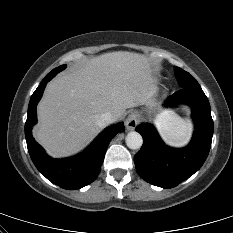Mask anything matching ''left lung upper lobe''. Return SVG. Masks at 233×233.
Instances as JSON below:
<instances>
[{
  "mask_svg": "<svg viewBox=\"0 0 233 233\" xmlns=\"http://www.w3.org/2000/svg\"><path fill=\"white\" fill-rule=\"evenodd\" d=\"M175 72L178 83L182 88H195V89L201 88L198 82L196 81V79L188 72L176 66H175Z\"/></svg>",
  "mask_w": 233,
  "mask_h": 233,
  "instance_id": "obj_1",
  "label": "left lung upper lobe"
}]
</instances>
